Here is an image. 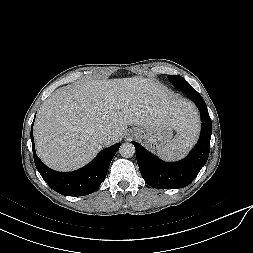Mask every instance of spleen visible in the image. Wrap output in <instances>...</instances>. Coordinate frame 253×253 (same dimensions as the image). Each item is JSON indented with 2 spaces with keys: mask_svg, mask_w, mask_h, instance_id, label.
<instances>
[{
  "mask_svg": "<svg viewBox=\"0 0 253 253\" xmlns=\"http://www.w3.org/2000/svg\"><path fill=\"white\" fill-rule=\"evenodd\" d=\"M198 133L199 121L193 111L177 130L176 136L158 150V156L168 161L183 158L196 142Z\"/></svg>",
  "mask_w": 253,
  "mask_h": 253,
  "instance_id": "spleen-1",
  "label": "spleen"
}]
</instances>
